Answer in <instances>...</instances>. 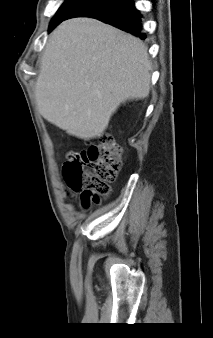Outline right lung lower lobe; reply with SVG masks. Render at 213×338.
<instances>
[{
  "label": "right lung lower lobe",
  "instance_id": "1",
  "mask_svg": "<svg viewBox=\"0 0 213 338\" xmlns=\"http://www.w3.org/2000/svg\"><path fill=\"white\" fill-rule=\"evenodd\" d=\"M92 17L145 39L142 31V15L133 0H93L76 9L66 19Z\"/></svg>",
  "mask_w": 213,
  "mask_h": 338
}]
</instances>
